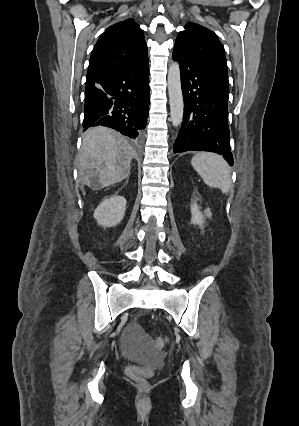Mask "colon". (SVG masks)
I'll return each instance as SVG.
<instances>
[{"instance_id": "5ec220e1", "label": "colon", "mask_w": 299, "mask_h": 426, "mask_svg": "<svg viewBox=\"0 0 299 426\" xmlns=\"http://www.w3.org/2000/svg\"><path fill=\"white\" fill-rule=\"evenodd\" d=\"M137 333L139 335H143L144 332L142 328H137ZM153 344L157 349H163L166 345V339L164 337H156L153 340ZM127 375L134 381L139 382L141 384H144L146 379L151 377L153 374V371L149 367H143V366H129L126 369Z\"/></svg>"}]
</instances>
